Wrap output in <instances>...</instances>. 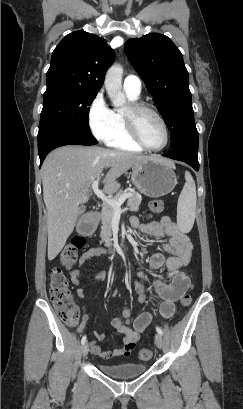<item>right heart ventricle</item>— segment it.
I'll list each match as a JSON object with an SVG mask.
<instances>
[{
	"mask_svg": "<svg viewBox=\"0 0 243 409\" xmlns=\"http://www.w3.org/2000/svg\"><path fill=\"white\" fill-rule=\"evenodd\" d=\"M126 92V91H125ZM127 97L129 98L130 101H137L139 98V95H133L128 92H126ZM117 115V118L119 120V129L115 136L108 141L109 145L113 148L117 149H122V150H128V151H141L142 148L137 145L135 142H133L128 135L126 125L122 116L121 111H116L115 112Z\"/></svg>",
	"mask_w": 243,
	"mask_h": 409,
	"instance_id": "1",
	"label": "right heart ventricle"
}]
</instances>
